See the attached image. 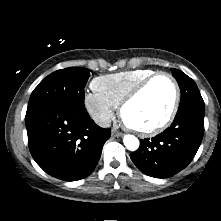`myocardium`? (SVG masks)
<instances>
[{
  "label": "myocardium",
  "instance_id": "f54148a6",
  "mask_svg": "<svg viewBox=\"0 0 221 221\" xmlns=\"http://www.w3.org/2000/svg\"><path fill=\"white\" fill-rule=\"evenodd\" d=\"M159 77H166L171 82V84L173 86V90H174L173 102H172L171 108H170L167 116L159 124H157L151 128H147V129H138V128H135V127L129 125L124 119V111H125L126 107L129 104H131L136 98H138L139 95L148 87V85L151 82H153L155 79H157ZM180 98H181L180 87H179L178 82L175 79V77L172 74H170L169 72H165V71L154 72L150 76L143 79L140 83H138L123 98V100L121 101V103L119 105L120 117H121L122 121L124 122V124L126 125V127L133 130L134 132H136L139 136L152 137V136H155V135L163 132L173 122V120L177 114L178 108H179Z\"/></svg>",
  "mask_w": 221,
  "mask_h": 221
}]
</instances>
